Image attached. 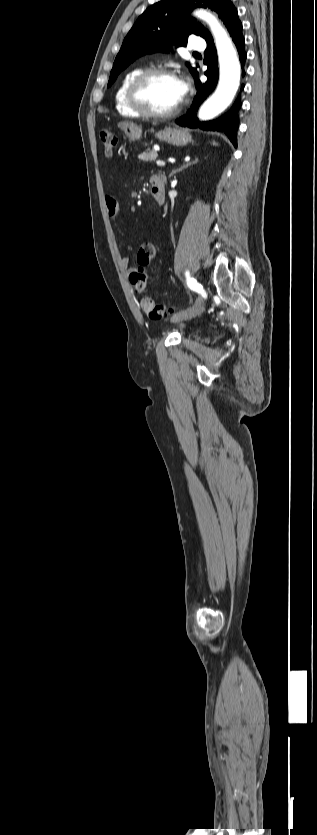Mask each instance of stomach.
<instances>
[{
	"label": "stomach",
	"mask_w": 317,
	"mask_h": 835,
	"mask_svg": "<svg viewBox=\"0 0 317 835\" xmlns=\"http://www.w3.org/2000/svg\"><path fill=\"white\" fill-rule=\"evenodd\" d=\"M118 127L131 140H139L142 137V128L131 122H120ZM152 132H154L152 130ZM155 136L169 144L175 146H186L192 142V135L185 129L174 127H165L163 130L156 132Z\"/></svg>",
	"instance_id": "stomach-1"
}]
</instances>
